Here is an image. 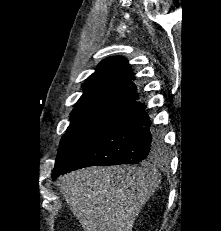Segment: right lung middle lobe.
<instances>
[{"label":"right lung middle lobe","mask_w":221,"mask_h":231,"mask_svg":"<svg viewBox=\"0 0 221 231\" xmlns=\"http://www.w3.org/2000/svg\"><path fill=\"white\" fill-rule=\"evenodd\" d=\"M132 102L126 99L101 97L75 104L70 125L60 141L54 170L65 166L87 146L117 113Z\"/></svg>","instance_id":"right-lung-middle-lobe-1"}]
</instances>
